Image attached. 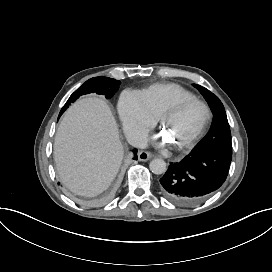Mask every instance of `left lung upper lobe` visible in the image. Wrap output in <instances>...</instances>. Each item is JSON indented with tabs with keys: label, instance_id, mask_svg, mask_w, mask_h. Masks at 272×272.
Listing matches in <instances>:
<instances>
[{
	"label": "left lung upper lobe",
	"instance_id": "5c2ea615",
	"mask_svg": "<svg viewBox=\"0 0 272 272\" xmlns=\"http://www.w3.org/2000/svg\"><path fill=\"white\" fill-rule=\"evenodd\" d=\"M208 102L214 115L213 124L206 136L194 147L191 153L222 151L232 154L231 132L226 112L220 99L206 88L194 84Z\"/></svg>",
	"mask_w": 272,
	"mask_h": 272
}]
</instances>
